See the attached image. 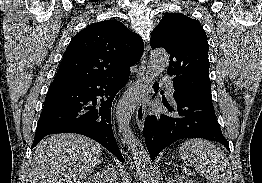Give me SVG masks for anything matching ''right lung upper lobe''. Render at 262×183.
I'll list each match as a JSON object with an SVG mask.
<instances>
[{
    "label": "right lung upper lobe",
    "mask_w": 262,
    "mask_h": 183,
    "mask_svg": "<svg viewBox=\"0 0 262 183\" xmlns=\"http://www.w3.org/2000/svg\"><path fill=\"white\" fill-rule=\"evenodd\" d=\"M143 51L141 37L123 23H93L73 37L52 83L124 74L140 60Z\"/></svg>",
    "instance_id": "obj_1"
}]
</instances>
